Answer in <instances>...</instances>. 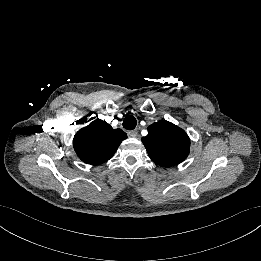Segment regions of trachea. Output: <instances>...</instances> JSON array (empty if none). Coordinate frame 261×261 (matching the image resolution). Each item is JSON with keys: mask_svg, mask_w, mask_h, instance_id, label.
I'll return each mask as SVG.
<instances>
[{"mask_svg": "<svg viewBox=\"0 0 261 261\" xmlns=\"http://www.w3.org/2000/svg\"><path fill=\"white\" fill-rule=\"evenodd\" d=\"M137 125V120L133 115H128L123 120V127L127 130H133Z\"/></svg>", "mask_w": 261, "mask_h": 261, "instance_id": "3493384b", "label": "trachea"}]
</instances>
